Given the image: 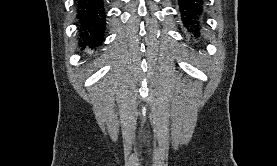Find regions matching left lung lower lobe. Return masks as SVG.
<instances>
[{"mask_svg": "<svg viewBox=\"0 0 277 166\" xmlns=\"http://www.w3.org/2000/svg\"><path fill=\"white\" fill-rule=\"evenodd\" d=\"M181 19L185 26H187L194 37H199V27L201 24V17L203 15L202 0H178Z\"/></svg>", "mask_w": 277, "mask_h": 166, "instance_id": "0a47b994", "label": "left lung lower lobe"}]
</instances>
